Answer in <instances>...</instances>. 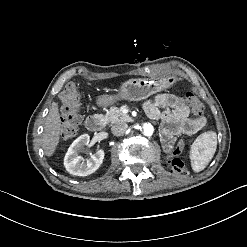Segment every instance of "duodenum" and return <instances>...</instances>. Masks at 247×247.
I'll use <instances>...</instances> for the list:
<instances>
[{"label":"duodenum","mask_w":247,"mask_h":247,"mask_svg":"<svg viewBox=\"0 0 247 247\" xmlns=\"http://www.w3.org/2000/svg\"><path fill=\"white\" fill-rule=\"evenodd\" d=\"M105 120L100 115H94L86 120V127L91 131H100L104 128Z\"/></svg>","instance_id":"obj_1"}]
</instances>
